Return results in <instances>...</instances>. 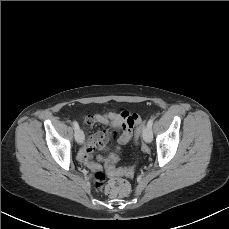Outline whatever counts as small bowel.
<instances>
[{"instance_id": "1", "label": "small bowel", "mask_w": 229, "mask_h": 229, "mask_svg": "<svg viewBox=\"0 0 229 229\" xmlns=\"http://www.w3.org/2000/svg\"><path fill=\"white\" fill-rule=\"evenodd\" d=\"M137 116L128 110H121L120 112L105 111L93 116H85L83 122L86 126H93L96 123L110 126L112 129L97 132L84 138L83 146L78 151V160L84 163L92 170L100 167L99 161L104 163L105 169L111 175L118 172L115 163L118 159L121 146L127 144L132 138L131 120ZM114 129H121V133L117 138V146L109 151L106 157H98L97 161L92 159V154L97 149L105 148L110 136L114 134Z\"/></svg>"}]
</instances>
